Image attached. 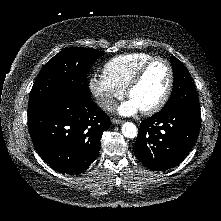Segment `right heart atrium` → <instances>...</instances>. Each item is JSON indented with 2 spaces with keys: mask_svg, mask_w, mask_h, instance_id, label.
<instances>
[{
  "mask_svg": "<svg viewBox=\"0 0 221 221\" xmlns=\"http://www.w3.org/2000/svg\"><path fill=\"white\" fill-rule=\"evenodd\" d=\"M89 88L97 104L103 110H111L115 102L124 96L125 91L111 82L105 75H93L89 80Z\"/></svg>",
  "mask_w": 221,
  "mask_h": 221,
  "instance_id": "obj_1",
  "label": "right heart atrium"
}]
</instances>
